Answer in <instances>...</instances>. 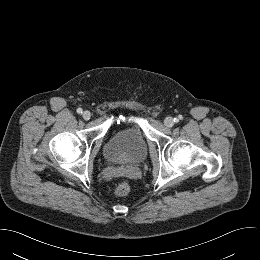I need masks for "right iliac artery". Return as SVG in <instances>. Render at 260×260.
Here are the masks:
<instances>
[{
    "label": "right iliac artery",
    "mask_w": 260,
    "mask_h": 260,
    "mask_svg": "<svg viewBox=\"0 0 260 260\" xmlns=\"http://www.w3.org/2000/svg\"><path fill=\"white\" fill-rule=\"evenodd\" d=\"M82 112H83V110H82L81 108H78V109H77V113H78V114H81Z\"/></svg>",
    "instance_id": "82829eb1"
}]
</instances>
